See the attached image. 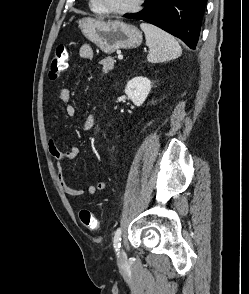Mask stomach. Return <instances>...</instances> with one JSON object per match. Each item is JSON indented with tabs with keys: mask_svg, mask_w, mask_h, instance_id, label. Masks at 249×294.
<instances>
[{
	"mask_svg": "<svg viewBox=\"0 0 249 294\" xmlns=\"http://www.w3.org/2000/svg\"><path fill=\"white\" fill-rule=\"evenodd\" d=\"M79 27L88 40L108 54L121 48H135L142 42V33L136 26L119 20L104 22L83 18Z\"/></svg>",
	"mask_w": 249,
	"mask_h": 294,
	"instance_id": "stomach-1",
	"label": "stomach"
}]
</instances>
